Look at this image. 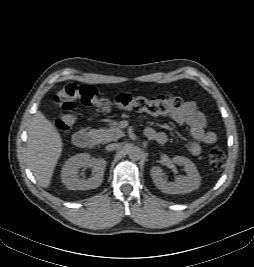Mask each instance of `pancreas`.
<instances>
[{
    "label": "pancreas",
    "instance_id": "obj_1",
    "mask_svg": "<svg viewBox=\"0 0 254 267\" xmlns=\"http://www.w3.org/2000/svg\"><path fill=\"white\" fill-rule=\"evenodd\" d=\"M91 132L93 134V137L99 143H108L111 141H115L123 135V132L118 127L117 122H112L110 124V128L108 129L100 128V129L92 130Z\"/></svg>",
    "mask_w": 254,
    "mask_h": 267
}]
</instances>
